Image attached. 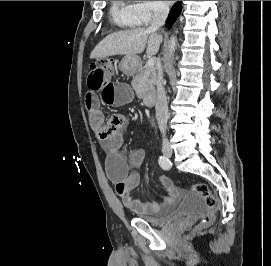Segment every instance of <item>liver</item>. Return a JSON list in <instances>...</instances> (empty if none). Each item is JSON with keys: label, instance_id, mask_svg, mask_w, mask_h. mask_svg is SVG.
Returning a JSON list of instances; mask_svg holds the SVG:
<instances>
[{"label": "liver", "instance_id": "1", "mask_svg": "<svg viewBox=\"0 0 271 266\" xmlns=\"http://www.w3.org/2000/svg\"><path fill=\"white\" fill-rule=\"evenodd\" d=\"M162 37L145 28H135L115 32L105 37L92 51L90 58H104L114 55L134 56L142 53L147 45L146 53L155 55Z\"/></svg>", "mask_w": 271, "mask_h": 266}]
</instances>
